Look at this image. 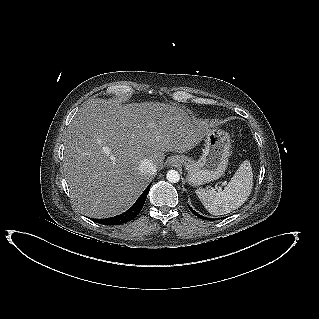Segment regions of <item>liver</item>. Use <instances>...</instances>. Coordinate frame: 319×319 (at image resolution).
<instances>
[{
  "label": "liver",
  "instance_id": "6515ba94",
  "mask_svg": "<svg viewBox=\"0 0 319 319\" xmlns=\"http://www.w3.org/2000/svg\"><path fill=\"white\" fill-rule=\"evenodd\" d=\"M181 107L142 102L83 106L64 138L63 173L80 212L108 218L130 208L151 180L139 165L163 167L164 152L186 153L209 125Z\"/></svg>",
  "mask_w": 319,
  "mask_h": 319
}]
</instances>
